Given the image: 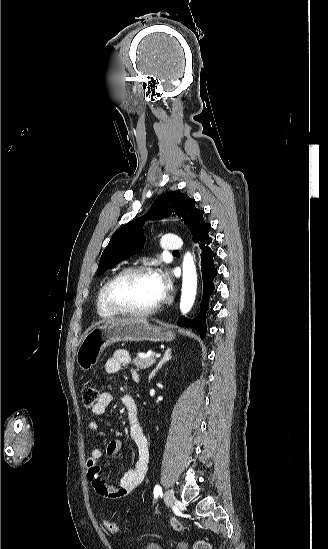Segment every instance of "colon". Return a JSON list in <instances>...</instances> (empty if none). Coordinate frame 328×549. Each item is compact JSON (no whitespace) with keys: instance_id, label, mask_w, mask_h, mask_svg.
I'll return each mask as SVG.
<instances>
[{"instance_id":"1","label":"colon","mask_w":328,"mask_h":549,"mask_svg":"<svg viewBox=\"0 0 328 549\" xmlns=\"http://www.w3.org/2000/svg\"><path fill=\"white\" fill-rule=\"evenodd\" d=\"M99 395H100L99 390L94 384H86L82 388L83 406L86 408L93 407L96 404L99 398ZM171 523L174 526V528L177 530H180L182 528L181 523L174 518L171 519ZM104 526L106 530L109 531L110 533H117L119 530L117 524L110 520H105ZM195 547L196 549H210L209 544H207L206 542H198Z\"/></svg>"}]
</instances>
